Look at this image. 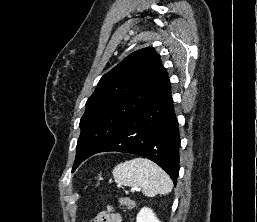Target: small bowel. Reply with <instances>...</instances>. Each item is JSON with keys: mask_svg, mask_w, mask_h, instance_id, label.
Returning a JSON list of instances; mask_svg holds the SVG:
<instances>
[{"mask_svg": "<svg viewBox=\"0 0 257 222\" xmlns=\"http://www.w3.org/2000/svg\"><path fill=\"white\" fill-rule=\"evenodd\" d=\"M90 222H123L122 216L113 211L107 210L98 213Z\"/></svg>", "mask_w": 257, "mask_h": 222, "instance_id": "1", "label": "small bowel"}]
</instances>
